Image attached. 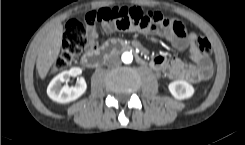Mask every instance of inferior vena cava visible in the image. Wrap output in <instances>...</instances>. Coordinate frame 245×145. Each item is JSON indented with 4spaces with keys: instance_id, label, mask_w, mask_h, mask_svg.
I'll list each match as a JSON object with an SVG mask.
<instances>
[{
    "instance_id": "inferior-vena-cava-1",
    "label": "inferior vena cava",
    "mask_w": 245,
    "mask_h": 145,
    "mask_svg": "<svg viewBox=\"0 0 245 145\" xmlns=\"http://www.w3.org/2000/svg\"><path fill=\"white\" fill-rule=\"evenodd\" d=\"M109 66H118L120 64V59L118 57H112L108 61Z\"/></svg>"
}]
</instances>
